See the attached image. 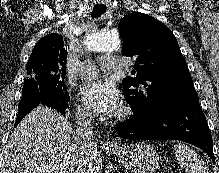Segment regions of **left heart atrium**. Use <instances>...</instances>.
Segmentation results:
<instances>
[{
  "instance_id": "left-heart-atrium-1",
  "label": "left heart atrium",
  "mask_w": 219,
  "mask_h": 173,
  "mask_svg": "<svg viewBox=\"0 0 219 173\" xmlns=\"http://www.w3.org/2000/svg\"><path fill=\"white\" fill-rule=\"evenodd\" d=\"M80 96L89 109L103 117L115 115L121 104L119 90L108 81L96 80L83 84Z\"/></svg>"
}]
</instances>
